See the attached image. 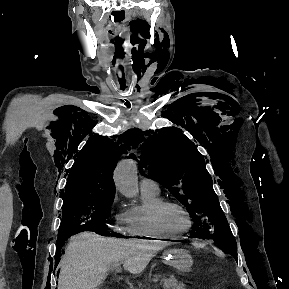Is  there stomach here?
I'll return each mask as SVG.
<instances>
[{"instance_id":"stomach-1","label":"stomach","mask_w":289,"mask_h":289,"mask_svg":"<svg viewBox=\"0 0 289 289\" xmlns=\"http://www.w3.org/2000/svg\"><path fill=\"white\" fill-rule=\"evenodd\" d=\"M165 262L179 272H189L193 265V258L189 252L182 248L168 250L165 253Z\"/></svg>"}]
</instances>
